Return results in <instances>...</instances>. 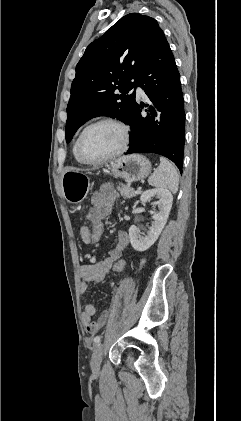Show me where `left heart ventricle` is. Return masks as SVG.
<instances>
[{"mask_svg":"<svg viewBox=\"0 0 241 421\" xmlns=\"http://www.w3.org/2000/svg\"><path fill=\"white\" fill-rule=\"evenodd\" d=\"M122 141L120 129L112 124H100L84 136L82 150L91 160L100 159L117 150Z\"/></svg>","mask_w":241,"mask_h":421,"instance_id":"b2bd125f","label":"left heart ventricle"}]
</instances>
